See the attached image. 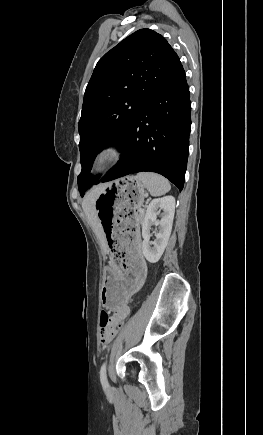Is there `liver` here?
I'll return each instance as SVG.
<instances>
[{
    "label": "liver",
    "instance_id": "obj_1",
    "mask_svg": "<svg viewBox=\"0 0 263 435\" xmlns=\"http://www.w3.org/2000/svg\"><path fill=\"white\" fill-rule=\"evenodd\" d=\"M107 184H102L91 189L83 199L82 208L94 230L97 237L100 239L101 246L106 251V239L105 234L100 223V220L96 214L95 201L100 192L106 187Z\"/></svg>",
    "mask_w": 263,
    "mask_h": 435
}]
</instances>
